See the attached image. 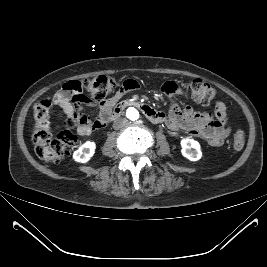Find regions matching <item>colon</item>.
I'll list each match as a JSON object with an SVG mask.
<instances>
[{"mask_svg":"<svg viewBox=\"0 0 267 267\" xmlns=\"http://www.w3.org/2000/svg\"><path fill=\"white\" fill-rule=\"evenodd\" d=\"M114 78L107 75L90 77L82 82V87L88 96L96 102L104 103L106 98L116 87ZM188 96L198 104L209 105L217 96L216 90L201 79L184 83ZM52 107L51 100H41L34 107L35 127L32 141L37 156L46 162H58L63 159L76 142L72 129L79 124L74 118H67L64 129L54 137L49 123V114ZM233 147L241 150L245 145V133L238 129L233 136Z\"/></svg>","mask_w":267,"mask_h":267,"instance_id":"1","label":"colon"}]
</instances>
